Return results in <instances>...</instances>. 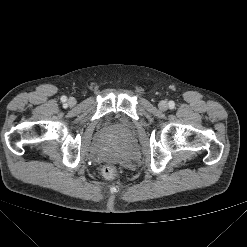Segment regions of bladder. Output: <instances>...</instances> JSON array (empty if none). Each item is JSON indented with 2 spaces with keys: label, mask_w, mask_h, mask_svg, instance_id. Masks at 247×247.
<instances>
[{
  "label": "bladder",
  "mask_w": 247,
  "mask_h": 247,
  "mask_svg": "<svg viewBox=\"0 0 247 247\" xmlns=\"http://www.w3.org/2000/svg\"><path fill=\"white\" fill-rule=\"evenodd\" d=\"M109 124L114 128L124 132H128L132 129V124L126 117H119V118L111 117L109 120Z\"/></svg>",
  "instance_id": "31cf9c89"
}]
</instances>
